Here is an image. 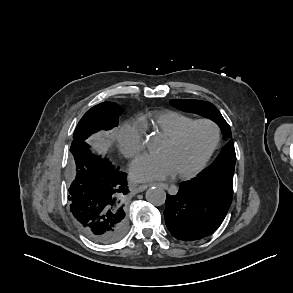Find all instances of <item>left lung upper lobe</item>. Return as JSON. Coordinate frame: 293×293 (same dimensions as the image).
Masks as SVG:
<instances>
[{
	"mask_svg": "<svg viewBox=\"0 0 293 293\" xmlns=\"http://www.w3.org/2000/svg\"><path fill=\"white\" fill-rule=\"evenodd\" d=\"M171 105L191 113H196L216 122L221 128L224 137L231 134V129L218 109L210 102L201 100H179L173 99ZM236 154L233 141H229L222 149L213 164L202 174L203 175H232L235 169Z\"/></svg>",
	"mask_w": 293,
	"mask_h": 293,
	"instance_id": "5c2ea615",
	"label": "left lung upper lobe"
}]
</instances>
